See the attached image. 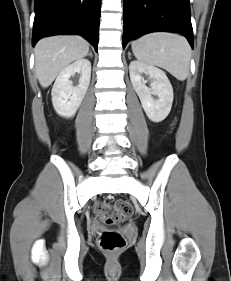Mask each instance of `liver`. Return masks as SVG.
<instances>
[{"instance_id":"6515ba94","label":"liver","mask_w":231,"mask_h":281,"mask_svg":"<svg viewBox=\"0 0 231 281\" xmlns=\"http://www.w3.org/2000/svg\"><path fill=\"white\" fill-rule=\"evenodd\" d=\"M89 52V43L80 36L59 35L41 39L35 46L36 77L47 88L73 61Z\"/></svg>"}]
</instances>
